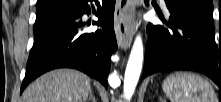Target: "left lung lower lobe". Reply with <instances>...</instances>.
I'll use <instances>...</instances> for the list:
<instances>
[{
    "mask_svg": "<svg viewBox=\"0 0 221 102\" xmlns=\"http://www.w3.org/2000/svg\"><path fill=\"white\" fill-rule=\"evenodd\" d=\"M165 2L171 13L169 22L165 21L169 29L147 26L143 77L159 71L195 70L221 89V45L215 42L213 21L183 4Z\"/></svg>",
    "mask_w": 221,
    "mask_h": 102,
    "instance_id": "left-lung-lower-lobe-1",
    "label": "left lung lower lobe"
}]
</instances>
